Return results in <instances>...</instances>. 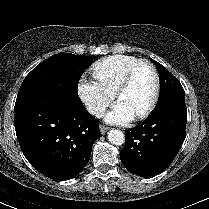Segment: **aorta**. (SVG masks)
<instances>
[{"mask_svg":"<svg viewBox=\"0 0 209 209\" xmlns=\"http://www.w3.org/2000/svg\"><path fill=\"white\" fill-rule=\"evenodd\" d=\"M110 143L114 145H122L125 142V136L122 131L118 129H111L107 136Z\"/></svg>","mask_w":209,"mask_h":209,"instance_id":"obj_1","label":"aorta"}]
</instances>
